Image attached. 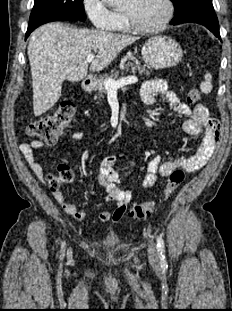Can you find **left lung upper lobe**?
I'll return each mask as SVG.
<instances>
[{
  "instance_id": "5c2ea615",
  "label": "left lung upper lobe",
  "mask_w": 232,
  "mask_h": 311,
  "mask_svg": "<svg viewBox=\"0 0 232 311\" xmlns=\"http://www.w3.org/2000/svg\"><path fill=\"white\" fill-rule=\"evenodd\" d=\"M174 7L176 8L175 11H178L180 9H182L183 7H185L189 2H191L192 0H171Z\"/></svg>"
}]
</instances>
